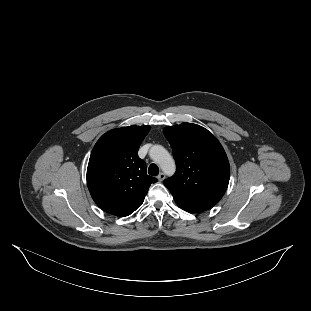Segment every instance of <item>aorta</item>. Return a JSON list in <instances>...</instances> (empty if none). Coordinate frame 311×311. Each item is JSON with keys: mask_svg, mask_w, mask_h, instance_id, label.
Here are the masks:
<instances>
[{"mask_svg": "<svg viewBox=\"0 0 311 311\" xmlns=\"http://www.w3.org/2000/svg\"><path fill=\"white\" fill-rule=\"evenodd\" d=\"M149 157L166 175L172 176L175 173V161L162 145H153L149 150Z\"/></svg>", "mask_w": 311, "mask_h": 311, "instance_id": "762f6f07", "label": "aorta"}]
</instances>
